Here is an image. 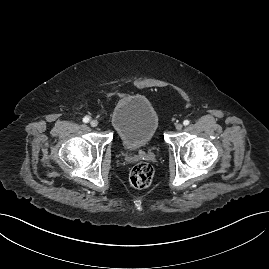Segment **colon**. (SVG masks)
Masks as SVG:
<instances>
[{
	"instance_id": "1",
	"label": "colon",
	"mask_w": 269,
	"mask_h": 269,
	"mask_svg": "<svg viewBox=\"0 0 269 269\" xmlns=\"http://www.w3.org/2000/svg\"><path fill=\"white\" fill-rule=\"evenodd\" d=\"M153 178V169L148 163H139L135 165L129 173L130 185L135 189L147 188Z\"/></svg>"
}]
</instances>
